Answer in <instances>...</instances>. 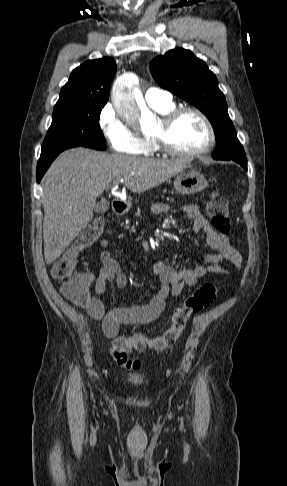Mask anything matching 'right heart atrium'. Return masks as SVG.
<instances>
[{
	"mask_svg": "<svg viewBox=\"0 0 287 486\" xmlns=\"http://www.w3.org/2000/svg\"><path fill=\"white\" fill-rule=\"evenodd\" d=\"M99 128L113 151L138 154L141 149V139L122 120L116 108L107 103L98 116Z\"/></svg>",
	"mask_w": 287,
	"mask_h": 486,
	"instance_id": "1",
	"label": "right heart atrium"
}]
</instances>
